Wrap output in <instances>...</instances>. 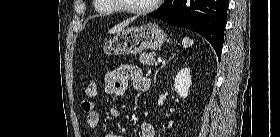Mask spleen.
<instances>
[{
  "instance_id": "3e777b00",
  "label": "spleen",
  "mask_w": 280,
  "mask_h": 137,
  "mask_svg": "<svg viewBox=\"0 0 280 137\" xmlns=\"http://www.w3.org/2000/svg\"><path fill=\"white\" fill-rule=\"evenodd\" d=\"M193 43H194V41L191 40V39L188 38V37H185V38L183 39V41H182V45H183L184 48H188V47L192 46Z\"/></svg>"
}]
</instances>
